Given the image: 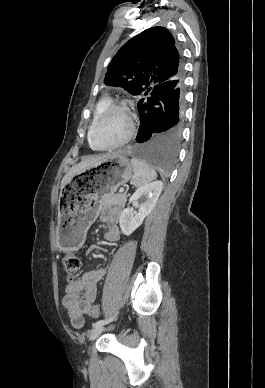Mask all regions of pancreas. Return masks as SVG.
Wrapping results in <instances>:
<instances>
[{"label": "pancreas", "instance_id": "pancreas-1", "mask_svg": "<svg viewBox=\"0 0 265 388\" xmlns=\"http://www.w3.org/2000/svg\"><path fill=\"white\" fill-rule=\"evenodd\" d=\"M126 198V194H104L101 198V204L102 206L111 204V206H121L123 208Z\"/></svg>", "mask_w": 265, "mask_h": 388}]
</instances>
